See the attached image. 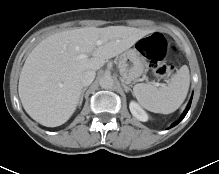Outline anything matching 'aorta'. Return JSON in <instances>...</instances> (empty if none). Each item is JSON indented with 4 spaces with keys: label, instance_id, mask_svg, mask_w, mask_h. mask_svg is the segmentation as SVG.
<instances>
[{
    "label": "aorta",
    "instance_id": "obj_1",
    "mask_svg": "<svg viewBox=\"0 0 219 174\" xmlns=\"http://www.w3.org/2000/svg\"><path fill=\"white\" fill-rule=\"evenodd\" d=\"M100 86L104 89H109L114 86V80L111 76H103L99 82Z\"/></svg>",
    "mask_w": 219,
    "mask_h": 174
}]
</instances>
